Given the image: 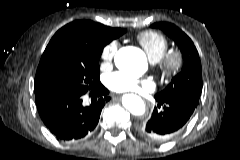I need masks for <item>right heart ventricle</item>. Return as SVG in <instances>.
Listing matches in <instances>:
<instances>
[{"instance_id":"1","label":"right heart ventricle","mask_w":240,"mask_h":160,"mask_svg":"<svg viewBox=\"0 0 240 160\" xmlns=\"http://www.w3.org/2000/svg\"><path fill=\"white\" fill-rule=\"evenodd\" d=\"M152 62L159 61L169 48L168 39L160 32L146 30L136 37Z\"/></svg>"}]
</instances>
